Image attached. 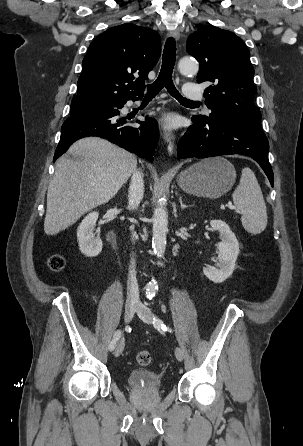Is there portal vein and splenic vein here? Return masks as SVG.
Masks as SVG:
<instances>
[{
	"mask_svg": "<svg viewBox=\"0 0 303 446\" xmlns=\"http://www.w3.org/2000/svg\"><path fill=\"white\" fill-rule=\"evenodd\" d=\"M227 207H228L229 209H231V210H236V207H235L234 205H232L231 203H229V204L227 205Z\"/></svg>",
	"mask_w": 303,
	"mask_h": 446,
	"instance_id": "obj_1",
	"label": "portal vein and splenic vein"
}]
</instances>
